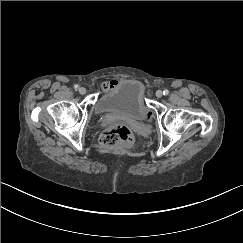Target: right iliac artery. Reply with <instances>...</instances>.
I'll return each instance as SVG.
<instances>
[{"instance_id": "right-iliac-artery-1", "label": "right iliac artery", "mask_w": 243, "mask_h": 243, "mask_svg": "<svg viewBox=\"0 0 243 243\" xmlns=\"http://www.w3.org/2000/svg\"><path fill=\"white\" fill-rule=\"evenodd\" d=\"M74 88H75V90H78L79 86L76 84V85H74Z\"/></svg>"}]
</instances>
